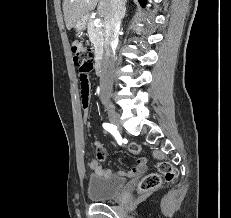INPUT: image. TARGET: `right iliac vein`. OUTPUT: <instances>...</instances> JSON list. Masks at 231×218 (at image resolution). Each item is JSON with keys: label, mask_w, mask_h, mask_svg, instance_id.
Instances as JSON below:
<instances>
[{"label": "right iliac vein", "mask_w": 231, "mask_h": 218, "mask_svg": "<svg viewBox=\"0 0 231 218\" xmlns=\"http://www.w3.org/2000/svg\"><path fill=\"white\" fill-rule=\"evenodd\" d=\"M106 112L111 123L121 130L120 119L118 113L112 106H106Z\"/></svg>", "instance_id": "1"}]
</instances>
